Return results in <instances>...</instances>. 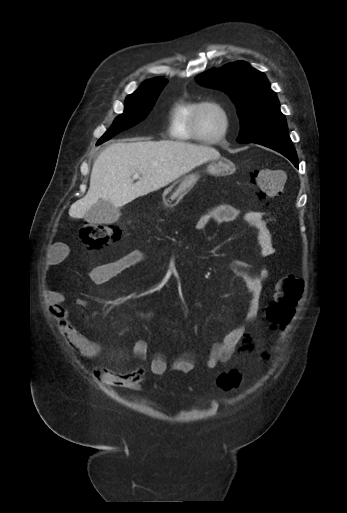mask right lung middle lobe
Here are the masks:
<instances>
[{"instance_id":"obj_1","label":"right lung middle lobe","mask_w":347,"mask_h":513,"mask_svg":"<svg viewBox=\"0 0 347 513\" xmlns=\"http://www.w3.org/2000/svg\"><path fill=\"white\" fill-rule=\"evenodd\" d=\"M166 83L167 79L144 82L137 91L126 98L124 113L115 119L110 129L99 141L103 143L142 121L153 108Z\"/></svg>"}]
</instances>
